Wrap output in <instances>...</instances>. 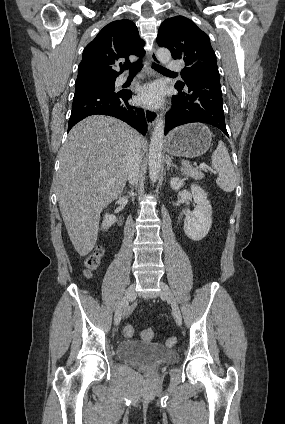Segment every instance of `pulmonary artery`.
<instances>
[{"mask_svg": "<svg viewBox=\"0 0 285 424\" xmlns=\"http://www.w3.org/2000/svg\"><path fill=\"white\" fill-rule=\"evenodd\" d=\"M167 66H168V69L172 72H178V71H181L182 69V65L177 61H169ZM126 79H127L126 77H121L119 79V83L125 82Z\"/></svg>", "mask_w": 285, "mask_h": 424, "instance_id": "e3ab8cb5", "label": "pulmonary artery"}]
</instances>
